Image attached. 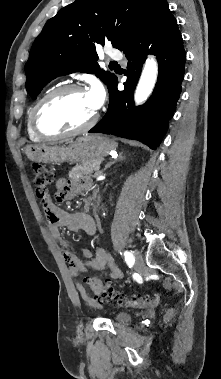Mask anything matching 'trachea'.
Instances as JSON below:
<instances>
[{
	"label": "trachea",
	"mask_w": 221,
	"mask_h": 379,
	"mask_svg": "<svg viewBox=\"0 0 221 379\" xmlns=\"http://www.w3.org/2000/svg\"><path fill=\"white\" fill-rule=\"evenodd\" d=\"M110 64H117L116 62H111Z\"/></svg>",
	"instance_id": "1"
}]
</instances>
